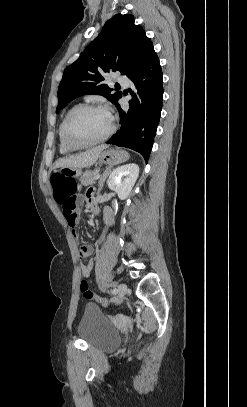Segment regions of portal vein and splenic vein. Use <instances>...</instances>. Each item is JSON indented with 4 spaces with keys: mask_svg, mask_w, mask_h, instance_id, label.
<instances>
[{
    "mask_svg": "<svg viewBox=\"0 0 247 407\" xmlns=\"http://www.w3.org/2000/svg\"><path fill=\"white\" fill-rule=\"evenodd\" d=\"M100 178V174H97L96 176H95V179H99Z\"/></svg>",
    "mask_w": 247,
    "mask_h": 407,
    "instance_id": "obj_1",
    "label": "portal vein and splenic vein"
}]
</instances>
